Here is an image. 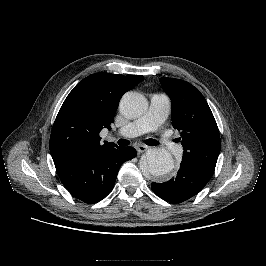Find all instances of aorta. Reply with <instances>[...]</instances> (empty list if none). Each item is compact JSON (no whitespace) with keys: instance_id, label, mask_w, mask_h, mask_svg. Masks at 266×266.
Masks as SVG:
<instances>
[{"instance_id":"obj_1","label":"aorta","mask_w":266,"mask_h":266,"mask_svg":"<svg viewBox=\"0 0 266 266\" xmlns=\"http://www.w3.org/2000/svg\"><path fill=\"white\" fill-rule=\"evenodd\" d=\"M147 109L146 98L136 92H127L120 101V111L127 118L141 116ZM141 169L144 173L161 177L174 168V161L171 154L163 148H152L147 151L142 159Z\"/></svg>"}]
</instances>
